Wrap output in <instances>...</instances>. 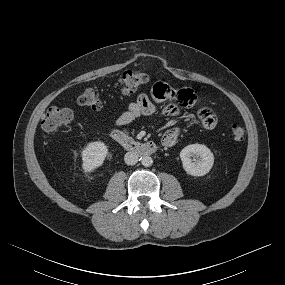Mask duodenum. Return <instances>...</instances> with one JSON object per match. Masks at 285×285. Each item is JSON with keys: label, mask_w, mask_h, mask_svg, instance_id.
<instances>
[{"label": "duodenum", "mask_w": 285, "mask_h": 285, "mask_svg": "<svg viewBox=\"0 0 285 285\" xmlns=\"http://www.w3.org/2000/svg\"><path fill=\"white\" fill-rule=\"evenodd\" d=\"M110 137L121 145L124 149L133 153L148 156L152 155L160 150V146L155 142H137L132 140L123 131L113 129L110 131Z\"/></svg>", "instance_id": "obj_1"}]
</instances>
